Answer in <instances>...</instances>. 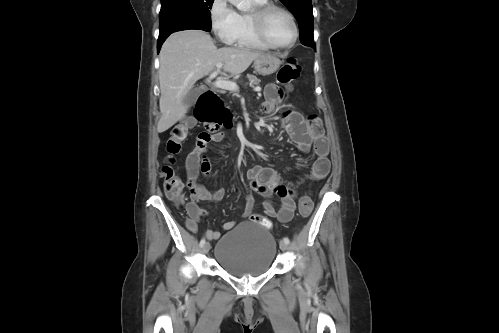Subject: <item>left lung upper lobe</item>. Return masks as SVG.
<instances>
[{"label":"left lung upper lobe","mask_w":499,"mask_h":333,"mask_svg":"<svg viewBox=\"0 0 499 333\" xmlns=\"http://www.w3.org/2000/svg\"><path fill=\"white\" fill-rule=\"evenodd\" d=\"M294 15L299 24L301 41H314L313 8L311 0H280Z\"/></svg>","instance_id":"1"}]
</instances>
